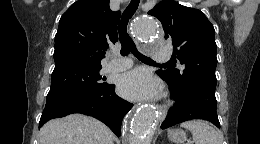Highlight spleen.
Returning a JSON list of instances; mask_svg holds the SVG:
<instances>
[{
	"instance_id": "3e777b00",
	"label": "spleen",
	"mask_w": 260,
	"mask_h": 144,
	"mask_svg": "<svg viewBox=\"0 0 260 144\" xmlns=\"http://www.w3.org/2000/svg\"><path fill=\"white\" fill-rule=\"evenodd\" d=\"M180 126L192 133L195 144H222V136L207 122L193 120L184 122Z\"/></svg>"
}]
</instances>
